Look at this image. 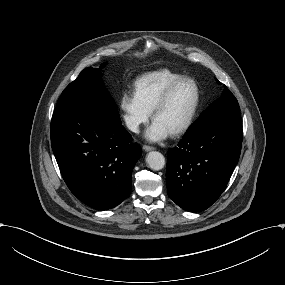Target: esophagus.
<instances>
[{
  "mask_svg": "<svg viewBox=\"0 0 285 285\" xmlns=\"http://www.w3.org/2000/svg\"><path fill=\"white\" fill-rule=\"evenodd\" d=\"M143 150H145L146 152H148V151H151V150H154L155 149V147H153V146H148V145H143Z\"/></svg>",
  "mask_w": 285,
  "mask_h": 285,
  "instance_id": "1",
  "label": "esophagus"
}]
</instances>
